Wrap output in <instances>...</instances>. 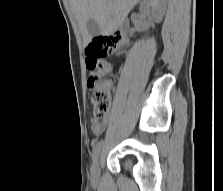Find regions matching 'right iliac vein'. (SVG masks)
<instances>
[{
  "label": "right iliac vein",
  "mask_w": 223,
  "mask_h": 191,
  "mask_svg": "<svg viewBox=\"0 0 223 191\" xmlns=\"http://www.w3.org/2000/svg\"><path fill=\"white\" fill-rule=\"evenodd\" d=\"M99 173V156L93 161L91 166V175L93 178H97Z\"/></svg>",
  "instance_id": "right-iliac-vein-1"
}]
</instances>
